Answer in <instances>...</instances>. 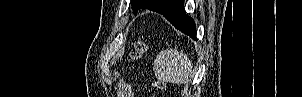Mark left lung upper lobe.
I'll use <instances>...</instances> for the list:
<instances>
[{
  "instance_id": "1",
  "label": "left lung upper lobe",
  "mask_w": 302,
  "mask_h": 97,
  "mask_svg": "<svg viewBox=\"0 0 302 97\" xmlns=\"http://www.w3.org/2000/svg\"><path fill=\"white\" fill-rule=\"evenodd\" d=\"M148 0H132L131 4L133 7V10L137 12L139 9H142L146 6Z\"/></svg>"
}]
</instances>
